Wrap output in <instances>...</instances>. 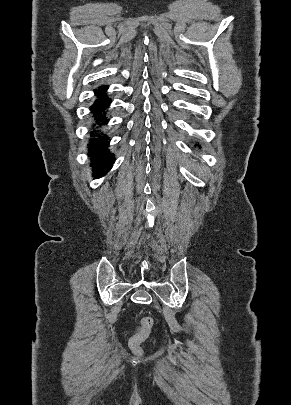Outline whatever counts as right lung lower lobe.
<instances>
[{
    "label": "right lung lower lobe",
    "mask_w": 291,
    "mask_h": 405,
    "mask_svg": "<svg viewBox=\"0 0 291 405\" xmlns=\"http://www.w3.org/2000/svg\"><path fill=\"white\" fill-rule=\"evenodd\" d=\"M107 86H101L98 90H95V94H99L107 91ZM110 100L108 96L99 98L94 102L91 109L96 114V120L99 124H106L108 119L104 115V109L108 107ZM109 141L105 135L92 139L89 145V156L91 157V163L93 167V173L95 178H99L107 173L112 168L114 163V155L108 150Z\"/></svg>",
    "instance_id": "obj_1"
}]
</instances>
